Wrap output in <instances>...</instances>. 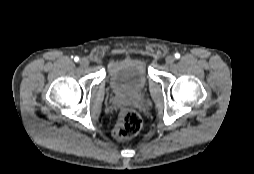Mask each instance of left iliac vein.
<instances>
[{"mask_svg":"<svg viewBox=\"0 0 254 174\" xmlns=\"http://www.w3.org/2000/svg\"><path fill=\"white\" fill-rule=\"evenodd\" d=\"M174 61H175V57L174 56L169 55V56L166 57V63L168 65H172L174 63Z\"/></svg>","mask_w":254,"mask_h":174,"instance_id":"4c4485c4","label":"left iliac vein"}]
</instances>
